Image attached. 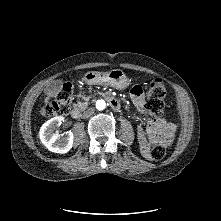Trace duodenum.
I'll list each match as a JSON object with an SVG mask.
<instances>
[{"instance_id": "410a0bca", "label": "duodenum", "mask_w": 221, "mask_h": 221, "mask_svg": "<svg viewBox=\"0 0 221 221\" xmlns=\"http://www.w3.org/2000/svg\"><path fill=\"white\" fill-rule=\"evenodd\" d=\"M101 97H103L110 105V107L113 110H119L121 108V102L119 99H117L116 97H114L113 95L109 94V93H102ZM71 116L74 119H78L81 116V110L79 107L74 108L71 111Z\"/></svg>"}]
</instances>
